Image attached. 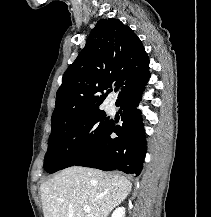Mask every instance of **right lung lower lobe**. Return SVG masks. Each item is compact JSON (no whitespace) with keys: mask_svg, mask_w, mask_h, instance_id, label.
Masks as SVG:
<instances>
[{"mask_svg":"<svg viewBox=\"0 0 211 217\" xmlns=\"http://www.w3.org/2000/svg\"><path fill=\"white\" fill-rule=\"evenodd\" d=\"M149 72L135 79L115 103L120 107L121 125L110 120L109 127L100 144L77 166L97 168L104 171L120 170L127 174L139 175L146 153V141L141 111L136 107L142 90L149 80ZM118 137L111 138V133Z\"/></svg>","mask_w":211,"mask_h":217,"instance_id":"obj_1","label":"right lung lower lobe"}]
</instances>
